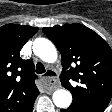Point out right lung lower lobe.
Returning a JSON list of instances; mask_svg holds the SVG:
<instances>
[{"instance_id": "1", "label": "right lung lower lobe", "mask_w": 112, "mask_h": 112, "mask_svg": "<svg viewBox=\"0 0 112 112\" xmlns=\"http://www.w3.org/2000/svg\"><path fill=\"white\" fill-rule=\"evenodd\" d=\"M32 110H33V107L30 109V111H29V112H32Z\"/></svg>"}]
</instances>
